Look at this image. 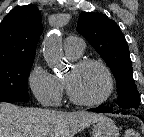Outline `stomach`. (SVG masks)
<instances>
[{"mask_svg":"<svg viewBox=\"0 0 144 137\" xmlns=\"http://www.w3.org/2000/svg\"><path fill=\"white\" fill-rule=\"evenodd\" d=\"M92 135L93 137H119V129L112 119L103 116L94 124Z\"/></svg>","mask_w":144,"mask_h":137,"instance_id":"obj_1","label":"stomach"}]
</instances>
